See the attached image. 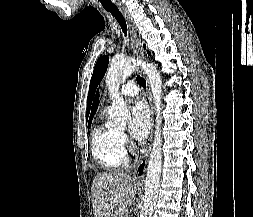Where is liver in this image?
<instances>
[{
	"instance_id": "obj_1",
	"label": "liver",
	"mask_w": 253,
	"mask_h": 217,
	"mask_svg": "<svg viewBox=\"0 0 253 217\" xmlns=\"http://www.w3.org/2000/svg\"><path fill=\"white\" fill-rule=\"evenodd\" d=\"M136 195V184L124 173L98 174L92 184L94 217H124Z\"/></svg>"
}]
</instances>
